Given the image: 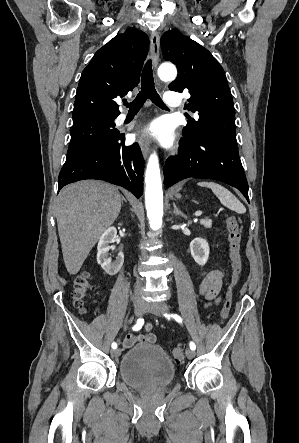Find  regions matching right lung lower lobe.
Listing matches in <instances>:
<instances>
[{
    "label": "right lung lower lobe",
    "mask_w": 299,
    "mask_h": 443,
    "mask_svg": "<svg viewBox=\"0 0 299 443\" xmlns=\"http://www.w3.org/2000/svg\"><path fill=\"white\" fill-rule=\"evenodd\" d=\"M124 134L95 143L68 158L61 169L58 191L84 179L104 180L131 191L137 198L143 193L144 159L137 143L126 147Z\"/></svg>",
    "instance_id": "right-lung-lower-lobe-1"
}]
</instances>
